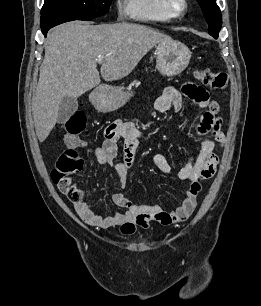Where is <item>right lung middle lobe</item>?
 <instances>
[{
    "mask_svg": "<svg viewBox=\"0 0 261 306\" xmlns=\"http://www.w3.org/2000/svg\"><path fill=\"white\" fill-rule=\"evenodd\" d=\"M111 0H45L41 17L91 20L109 11Z\"/></svg>",
    "mask_w": 261,
    "mask_h": 306,
    "instance_id": "1",
    "label": "right lung middle lobe"
}]
</instances>
